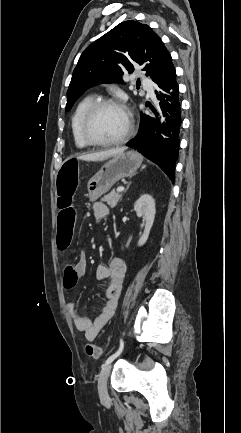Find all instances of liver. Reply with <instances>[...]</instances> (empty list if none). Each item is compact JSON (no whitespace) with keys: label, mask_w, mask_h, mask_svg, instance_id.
Segmentation results:
<instances>
[{"label":"liver","mask_w":241,"mask_h":433,"mask_svg":"<svg viewBox=\"0 0 241 433\" xmlns=\"http://www.w3.org/2000/svg\"><path fill=\"white\" fill-rule=\"evenodd\" d=\"M125 149L126 148L123 147V148L111 149L108 151H102V152H98V153H92V154H88V155H82V156H79L78 159L85 160V161H103L109 157L117 155L118 153L124 152Z\"/></svg>","instance_id":"6515ba94"}]
</instances>
